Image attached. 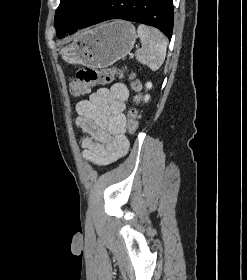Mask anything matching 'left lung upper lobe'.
<instances>
[{
    "label": "left lung upper lobe",
    "instance_id": "left-lung-upper-lobe-1",
    "mask_svg": "<svg viewBox=\"0 0 247 280\" xmlns=\"http://www.w3.org/2000/svg\"><path fill=\"white\" fill-rule=\"evenodd\" d=\"M103 0H60L54 24L57 36H65L67 31L77 29L90 12Z\"/></svg>",
    "mask_w": 247,
    "mask_h": 280
}]
</instances>
